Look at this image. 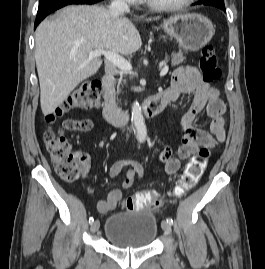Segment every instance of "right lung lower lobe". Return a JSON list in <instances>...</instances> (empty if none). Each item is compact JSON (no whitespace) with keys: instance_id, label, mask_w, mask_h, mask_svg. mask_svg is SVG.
<instances>
[{"instance_id":"right-lung-lower-lobe-1","label":"right lung lower lobe","mask_w":265,"mask_h":269,"mask_svg":"<svg viewBox=\"0 0 265 269\" xmlns=\"http://www.w3.org/2000/svg\"><path fill=\"white\" fill-rule=\"evenodd\" d=\"M102 0H40L34 29L51 12L69 4H94Z\"/></svg>"}]
</instances>
